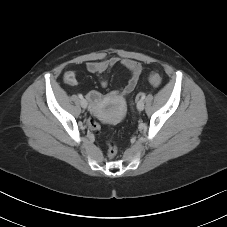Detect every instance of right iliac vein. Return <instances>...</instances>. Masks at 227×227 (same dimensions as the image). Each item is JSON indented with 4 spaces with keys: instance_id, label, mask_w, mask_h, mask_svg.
Here are the masks:
<instances>
[{
    "instance_id": "1",
    "label": "right iliac vein",
    "mask_w": 227,
    "mask_h": 227,
    "mask_svg": "<svg viewBox=\"0 0 227 227\" xmlns=\"http://www.w3.org/2000/svg\"><path fill=\"white\" fill-rule=\"evenodd\" d=\"M80 104H81L82 108H84V109L87 108L88 103H87V101L85 99H82Z\"/></svg>"
}]
</instances>
